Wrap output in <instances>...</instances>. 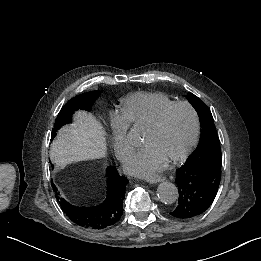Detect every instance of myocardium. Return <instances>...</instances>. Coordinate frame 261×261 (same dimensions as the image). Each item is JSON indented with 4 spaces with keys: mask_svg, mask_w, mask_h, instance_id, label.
<instances>
[{
    "mask_svg": "<svg viewBox=\"0 0 261 261\" xmlns=\"http://www.w3.org/2000/svg\"><path fill=\"white\" fill-rule=\"evenodd\" d=\"M171 107H180V108L187 109L193 116L194 129H193L189 142L183 148V150L175 155H172V156L164 159V162L167 164L183 160L188 155V153L193 149L195 144L197 143L199 135H200V131H201V117L199 115V112L191 104L182 102V101H172V102L165 104L164 106H162L160 109H158L153 114L142 118L139 121V123L153 124L165 110H167Z\"/></svg>",
    "mask_w": 261,
    "mask_h": 261,
    "instance_id": "f54148a6",
    "label": "myocardium"
}]
</instances>
